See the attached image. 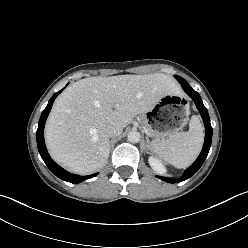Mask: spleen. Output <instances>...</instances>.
Masks as SVG:
<instances>
[{
	"label": "spleen",
	"mask_w": 248,
	"mask_h": 248,
	"mask_svg": "<svg viewBox=\"0 0 248 248\" xmlns=\"http://www.w3.org/2000/svg\"><path fill=\"white\" fill-rule=\"evenodd\" d=\"M204 140L203 126L197 116H192L189 130L177 132L168 139L155 142L154 152L176 168H185L199 155Z\"/></svg>",
	"instance_id": "obj_1"
}]
</instances>
